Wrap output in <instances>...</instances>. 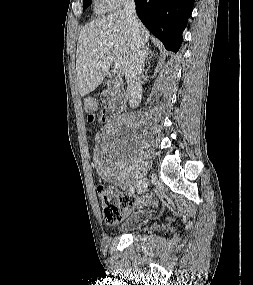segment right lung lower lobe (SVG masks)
Returning <instances> with one entry per match:
<instances>
[{
	"instance_id": "right-lung-lower-lobe-1",
	"label": "right lung lower lobe",
	"mask_w": 253,
	"mask_h": 285,
	"mask_svg": "<svg viewBox=\"0 0 253 285\" xmlns=\"http://www.w3.org/2000/svg\"><path fill=\"white\" fill-rule=\"evenodd\" d=\"M136 13L167 50L177 52L194 0H135Z\"/></svg>"
}]
</instances>
